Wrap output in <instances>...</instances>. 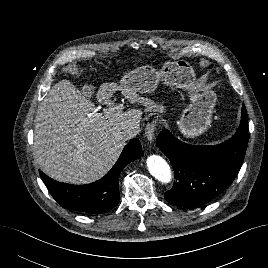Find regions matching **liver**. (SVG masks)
<instances>
[{
  "label": "liver",
  "mask_w": 268,
  "mask_h": 268,
  "mask_svg": "<svg viewBox=\"0 0 268 268\" xmlns=\"http://www.w3.org/2000/svg\"><path fill=\"white\" fill-rule=\"evenodd\" d=\"M114 83L102 84L97 98L107 106L95 113V105L69 81L55 84L40 103L35 117L34 157L49 177L71 184H88L103 177L117 161L126 140L115 132L139 127L142 107L123 111L111 97ZM130 103L147 106L151 100L133 91H122Z\"/></svg>",
  "instance_id": "6515ba94"
}]
</instances>
